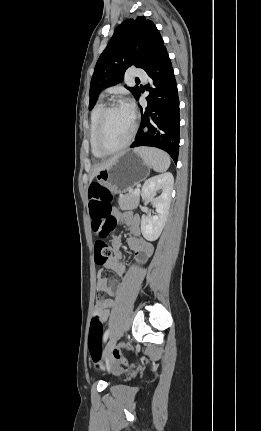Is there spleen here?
<instances>
[{"label":"spleen","instance_id":"obj_1","mask_svg":"<svg viewBox=\"0 0 261 431\" xmlns=\"http://www.w3.org/2000/svg\"><path fill=\"white\" fill-rule=\"evenodd\" d=\"M135 150L143 160L157 172H164L170 166V157L164 151L147 147H141Z\"/></svg>","mask_w":261,"mask_h":431}]
</instances>
